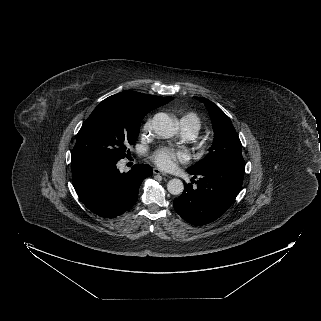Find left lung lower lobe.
Listing matches in <instances>:
<instances>
[{
  "instance_id": "obj_1",
  "label": "left lung lower lobe",
  "mask_w": 321,
  "mask_h": 321,
  "mask_svg": "<svg viewBox=\"0 0 321 321\" xmlns=\"http://www.w3.org/2000/svg\"><path fill=\"white\" fill-rule=\"evenodd\" d=\"M245 163L222 164L192 173L199 177L197 187L185 184L182 195L174 199L176 212L193 225L218 219L234 202L241 190Z\"/></svg>"
}]
</instances>
